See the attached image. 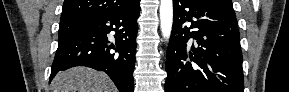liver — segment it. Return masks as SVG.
<instances>
[{
  "mask_svg": "<svg viewBox=\"0 0 289 92\" xmlns=\"http://www.w3.org/2000/svg\"><path fill=\"white\" fill-rule=\"evenodd\" d=\"M51 88L53 92H116L105 73L84 67L59 72L53 79Z\"/></svg>",
  "mask_w": 289,
  "mask_h": 92,
  "instance_id": "obj_1",
  "label": "liver"
}]
</instances>
